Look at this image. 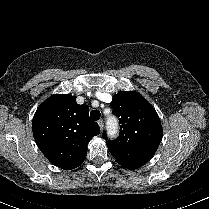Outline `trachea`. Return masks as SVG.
Wrapping results in <instances>:
<instances>
[{"mask_svg":"<svg viewBox=\"0 0 209 209\" xmlns=\"http://www.w3.org/2000/svg\"><path fill=\"white\" fill-rule=\"evenodd\" d=\"M100 116H101V114H100V112H99L98 110H92V111L90 112V117H91V119H92L93 121L99 120V119H100Z\"/></svg>","mask_w":209,"mask_h":209,"instance_id":"1","label":"trachea"}]
</instances>
